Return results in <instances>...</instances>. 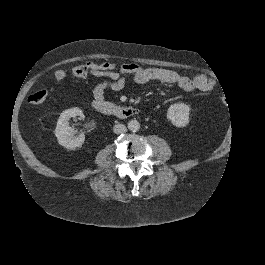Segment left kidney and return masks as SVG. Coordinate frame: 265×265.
Instances as JSON below:
<instances>
[{
    "label": "left kidney",
    "mask_w": 265,
    "mask_h": 265,
    "mask_svg": "<svg viewBox=\"0 0 265 265\" xmlns=\"http://www.w3.org/2000/svg\"><path fill=\"white\" fill-rule=\"evenodd\" d=\"M190 107L186 103H176L170 105L167 109L166 119L167 121L176 128H184L188 126Z\"/></svg>",
    "instance_id": "left-kidney-1"
}]
</instances>
